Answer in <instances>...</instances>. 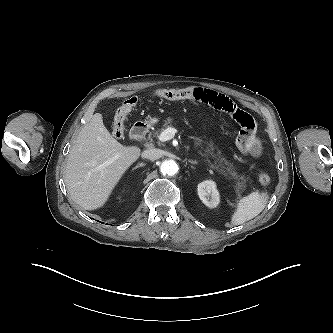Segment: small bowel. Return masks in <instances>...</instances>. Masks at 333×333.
<instances>
[{
  "mask_svg": "<svg viewBox=\"0 0 333 333\" xmlns=\"http://www.w3.org/2000/svg\"><path fill=\"white\" fill-rule=\"evenodd\" d=\"M189 89L194 93V97L191 100L202 102L216 110L227 113L241 126V131L236 141L240 152L254 157L260 154L261 144L256 136L255 121L249 113L241 109L232 99L222 93L203 87H191Z\"/></svg>",
  "mask_w": 333,
  "mask_h": 333,
  "instance_id": "obj_1",
  "label": "small bowel"
}]
</instances>
